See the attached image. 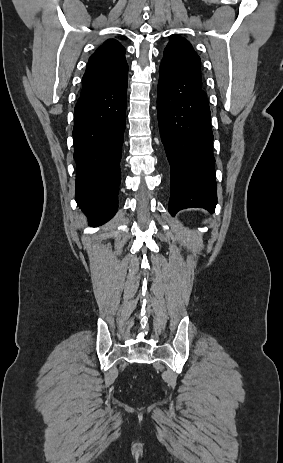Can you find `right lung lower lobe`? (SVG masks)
<instances>
[{
  "instance_id": "obj_1",
  "label": "right lung lower lobe",
  "mask_w": 283,
  "mask_h": 463,
  "mask_svg": "<svg viewBox=\"0 0 283 463\" xmlns=\"http://www.w3.org/2000/svg\"><path fill=\"white\" fill-rule=\"evenodd\" d=\"M127 82L126 75L81 94L74 109L76 201L95 225L110 220L118 208Z\"/></svg>"
}]
</instances>
